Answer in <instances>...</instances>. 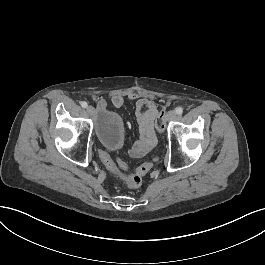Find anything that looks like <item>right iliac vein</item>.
Segmentation results:
<instances>
[{"label":"right iliac vein","mask_w":265,"mask_h":265,"mask_svg":"<svg viewBox=\"0 0 265 265\" xmlns=\"http://www.w3.org/2000/svg\"><path fill=\"white\" fill-rule=\"evenodd\" d=\"M86 111H87V113H88L90 116H92V115H94V113H95V108H94L93 106H88V107L86 108Z\"/></svg>","instance_id":"63e3f726"}]
</instances>
